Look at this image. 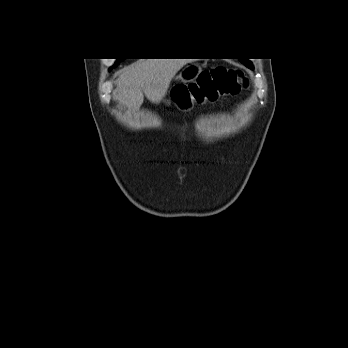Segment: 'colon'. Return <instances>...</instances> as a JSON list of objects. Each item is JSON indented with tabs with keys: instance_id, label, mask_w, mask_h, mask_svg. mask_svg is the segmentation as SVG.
I'll list each match as a JSON object with an SVG mask.
<instances>
[{
	"instance_id": "obj_1",
	"label": "colon",
	"mask_w": 348,
	"mask_h": 348,
	"mask_svg": "<svg viewBox=\"0 0 348 348\" xmlns=\"http://www.w3.org/2000/svg\"><path fill=\"white\" fill-rule=\"evenodd\" d=\"M247 86L243 73L235 68L216 66L202 71L194 82L173 89L172 102L187 107L199 99L210 101L234 96Z\"/></svg>"
}]
</instances>
